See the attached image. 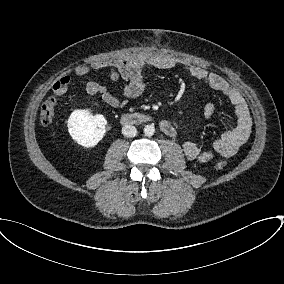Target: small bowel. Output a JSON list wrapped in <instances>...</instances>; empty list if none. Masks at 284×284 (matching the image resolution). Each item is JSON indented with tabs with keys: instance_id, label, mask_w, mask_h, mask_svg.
<instances>
[{
	"instance_id": "1",
	"label": "small bowel",
	"mask_w": 284,
	"mask_h": 284,
	"mask_svg": "<svg viewBox=\"0 0 284 284\" xmlns=\"http://www.w3.org/2000/svg\"><path fill=\"white\" fill-rule=\"evenodd\" d=\"M176 65V59L166 54H139L126 60L96 61L91 64L92 69L108 68L111 81H118L119 79L124 81L122 95L115 96L104 85L94 81L86 85V94L90 97L100 95L108 105L121 107L130 99L136 98L144 92L143 70L146 67L171 69ZM91 68L82 65L67 75L60 77L52 85L53 92L56 95L64 94L73 77L86 76ZM185 69L193 78L223 94L232 105L235 116V123L224 130L214 140L209 149L204 150L193 141L184 142L182 148L185 156L189 160L199 163L209 162L217 155L223 157L234 156L248 140L252 128V119L245 100L239 91L221 75L196 65H187ZM214 111V104H207L204 108L205 117L207 119L211 118Z\"/></svg>"
}]
</instances>
